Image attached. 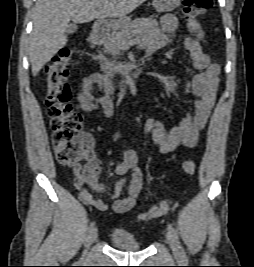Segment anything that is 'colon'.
Returning a JSON list of instances; mask_svg holds the SVG:
<instances>
[{
    "label": "colon",
    "instance_id": "1",
    "mask_svg": "<svg viewBox=\"0 0 254 267\" xmlns=\"http://www.w3.org/2000/svg\"><path fill=\"white\" fill-rule=\"evenodd\" d=\"M213 0H184L183 13L195 18L211 8ZM71 67V50L62 48L46 68V105L52 129V145L57 160L66 166L79 167L81 162L94 159L92 140L83 133V117L71 106V89L68 77ZM185 173L193 174L195 165L184 161ZM171 206L169 200L161 201L140 216L141 220H152L166 214Z\"/></svg>",
    "mask_w": 254,
    "mask_h": 267
}]
</instances>
